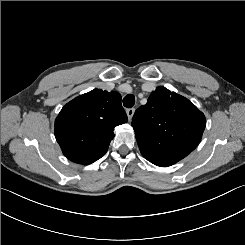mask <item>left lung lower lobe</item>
Instances as JSON below:
<instances>
[{"mask_svg":"<svg viewBox=\"0 0 245 245\" xmlns=\"http://www.w3.org/2000/svg\"><path fill=\"white\" fill-rule=\"evenodd\" d=\"M177 162H178V160H176L175 158L167 157V156H160V157H157L156 159H154V161L152 163L157 165V166L168 167V166H171Z\"/></svg>","mask_w":245,"mask_h":245,"instance_id":"left-lung-lower-lobe-1","label":"left lung lower lobe"}]
</instances>
